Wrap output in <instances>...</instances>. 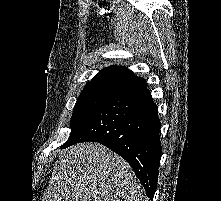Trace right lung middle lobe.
Instances as JSON below:
<instances>
[{
	"label": "right lung middle lobe",
	"instance_id": "obj_1",
	"mask_svg": "<svg viewBox=\"0 0 221 201\" xmlns=\"http://www.w3.org/2000/svg\"><path fill=\"white\" fill-rule=\"evenodd\" d=\"M118 89L109 87H93L82 90L74 106L71 118V134L73 137L84 123L109 99Z\"/></svg>",
	"mask_w": 221,
	"mask_h": 201
}]
</instances>
